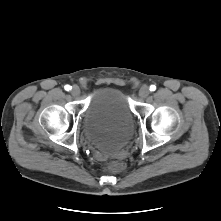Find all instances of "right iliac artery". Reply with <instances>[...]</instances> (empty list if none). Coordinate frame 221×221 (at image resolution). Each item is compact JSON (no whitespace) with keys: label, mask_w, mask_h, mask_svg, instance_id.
Masks as SVG:
<instances>
[{"label":"right iliac artery","mask_w":221,"mask_h":221,"mask_svg":"<svg viewBox=\"0 0 221 221\" xmlns=\"http://www.w3.org/2000/svg\"><path fill=\"white\" fill-rule=\"evenodd\" d=\"M64 88L66 91H69V90H71L72 87L70 85H66Z\"/></svg>","instance_id":"right-iliac-artery-1"}]
</instances>
